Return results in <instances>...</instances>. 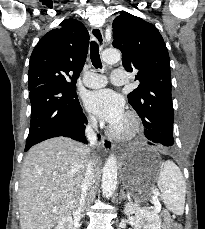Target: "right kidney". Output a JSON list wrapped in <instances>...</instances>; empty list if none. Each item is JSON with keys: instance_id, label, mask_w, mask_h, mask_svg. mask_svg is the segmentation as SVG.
<instances>
[{"instance_id": "ca27d5eb", "label": "right kidney", "mask_w": 205, "mask_h": 229, "mask_svg": "<svg viewBox=\"0 0 205 229\" xmlns=\"http://www.w3.org/2000/svg\"><path fill=\"white\" fill-rule=\"evenodd\" d=\"M55 229H74L70 216L63 217L56 225Z\"/></svg>"}]
</instances>
